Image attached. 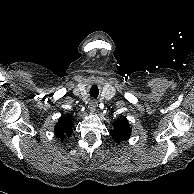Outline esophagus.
<instances>
[{"label":"esophagus","instance_id":"1","mask_svg":"<svg viewBox=\"0 0 194 194\" xmlns=\"http://www.w3.org/2000/svg\"><path fill=\"white\" fill-rule=\"evenodd\" d=\"M96 107H97V101L92 99L90 102H89V109L91 112H95L96 111Z\"/></svg>","mask_w":194,"mask_h":194}]
</instances>
